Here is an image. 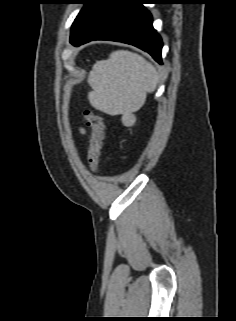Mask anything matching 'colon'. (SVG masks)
Wrapping results in <instances>:
<instances>
[{
    "label": "colon",
    "mask_w": 236,
    "mask_h": 321,
    "mask_svg": "<svg viewBox=\"0 0 236 321\" xmlns=\"http://www.w3.org/2000/svg\"><path fill=\"white\" fill-rule=\"evenodd\" d=\"M83 116L86 120V124L92 129L88 165L92 171H96L98 169L104 139L103 118L91 111H85Z\"/></svg>",
    "instance_id": "1"
}]
</instances>
